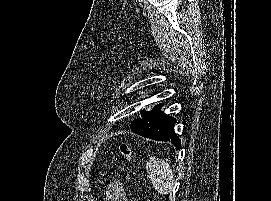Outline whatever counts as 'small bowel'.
Returning <instances> with one entry per match:
<instances>
[{"label":"small bowel","instance_id":"c3829d8e","mask_svg":"<svg viewBox=\"0 0 271 201\" xmlns=\"http://www.w3.org/2000/svg\"><path fill=\"white\" fill-rule=\"evenodd\" d=\"M104 201H127L122 184L112 181L104 190Z\"/></svg>","mask_w":271,"mask_h":201}]
</instances>
